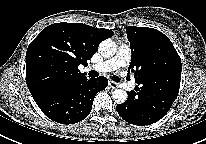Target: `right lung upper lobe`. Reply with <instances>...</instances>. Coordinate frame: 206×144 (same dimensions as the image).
Wrapping results in <instances>:
<instances>
[{
  "mask_svg": "<svg viewBox=\"0 0 206 144\" xmlns=\"http://www.w3.org/2000/svg\"><path fill=\"white\" fill-rule=\"evenodd\" d=\"M113 34L82 23H55L44 28L26 53V83L32 97L87 79L78 66L87 64L99 43Z\"/></svg>",
  "mask_w": 206,
  "mask_h": 144,
  "instance_id": "right-lung-upper-lobe-1",
  "label": "right lung upper lobe"
}]
</instances>
